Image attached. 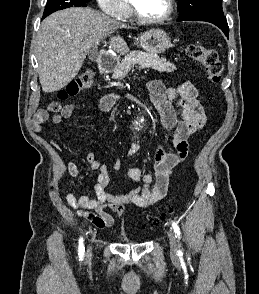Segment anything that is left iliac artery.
<instances>
[{"instance_id":"left-iliac-artery-1","label":"left iliac artery","mask_w":259,"mask_h":294,"mask_svg":"<svg viewBox=\"0 0 259 294\" xmlns=\"http://www.w3.org/2000/svg\"><path fill=\"white\" fill-rule=\"evenodd\" d=\"M172 227H173V230H174V232H175V234H176V237H177L178 239H180L181 232H180V228H179V226L177 225V223L173 222V223H172ZM178 254H179V255L182 254V251H181V250H178Z\"/></svg>"}]
</instances>
